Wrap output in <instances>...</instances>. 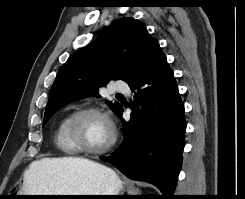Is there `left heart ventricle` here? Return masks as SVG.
<instances>
[{"label": "left heart ventricle", "instance_id": "obj_1", "mask_svg": "<svg viewBox=\"0 0 245 199\" xmlns=\"http://www.w3.org/2000/svg\"><path fill=\"white\" fill-rule=\"evenodd\" d=\"M74 137L85 146L96 149L109 142L111 131L103 117L88 115L79 120Z\"/></svg>", "mask_w": 245, "mask_h": 199}]
</instances>
